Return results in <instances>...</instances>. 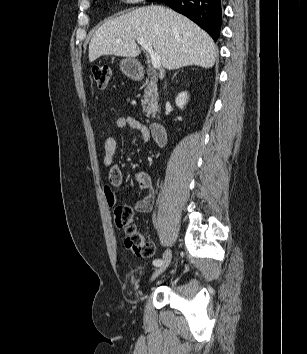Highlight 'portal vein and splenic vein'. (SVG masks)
I'll use <instances>...</instances> for the list:
<instances>
[{
	"mask_svg": "<svg viewBox=\"0 0 307 354\" xmlns=\"http://www.w3.org/2000/svg\"><path fill=\"white\" fill-rule=\"evenodd\" d=\"M136 40L137 43L149 53L153 68L159 69L161 66L160 56L153 50L152 46L148 44L144 39L137 38Z\"/></svg>",
	"mask_w": 307,
	"mask_h": 354,
	"instance_id": "obj_1",
	"label": "portal vein and splenic vein"
}]
</instances>
